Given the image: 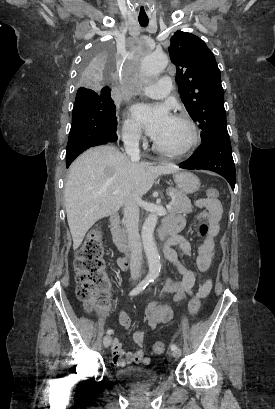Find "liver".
Instances as JSON below:
<instances>
[{
    "label": "liver",
    "instance_id": "liver-1",
    "mask_svg": "<svg viewBox=\"0 0 275 409\" xmlns=\"http://www.w3.org/2000/svg\"><path fill=\"white\" fill-rule=\"evenodd\" d=\"M150 164L110 144L89 148L72 162L64 196L74 251L96 221L117 213L129 196L146 194L158 174L179 170L175 164Z\"/></svg>",
    "mask_w": 275,
    "mask_h": 409
}]
</instances>
